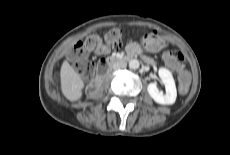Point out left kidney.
<instances>
[{"instance_id": "left-kidney-1", "label": "left kidney", "mask_w": 230, "mask_h": 155, "mask_svg": "<svg viewBox=\"0 0 230 155\" xmlns=\"http://www.w3.org/2000/svg\"><path fill=\"white\" fill-rule=\"evenodd\" d=\"M158 73L162 84L165 86L166 93L163 94V92L159 91V89L157 88V84L153 82L150 83L147 87L149 95L158 104H174L177 97V91L172 73L168 69L163 67L159 69Z\"/></svg>"}]
</instances>
